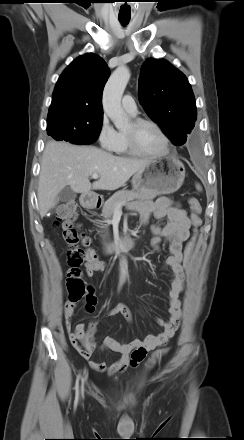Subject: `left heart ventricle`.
Here are the masks:
<instances>
[{
    "mask_svg": "<svg viewBox=\"0 0 244 440\" xmlns=\"http://www.w3.org/2000/svg\"><path fill=\"white\" fill-rule=\"evenodd\" d=\"M126 131L135 133L141 149L146 152L158 153L164 148L163 137L159 131L151 125H142L134 129L130 123Z\"/></svg>",
    "mask_w": 244,
    "mask_h": 440,
    "instance_id": "1",
    "label": "left heart ventricle"
}]
</instances>
